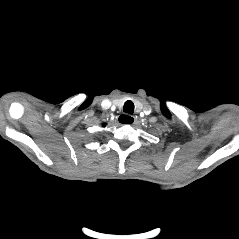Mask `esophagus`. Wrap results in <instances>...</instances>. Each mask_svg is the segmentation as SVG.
<instances>
[{
    "label": "esophagus",
    "mask_w": 239,
    "mask_h": 239,
    "mask_svg": "<svg viewBox=\"0 0 239 239\" xmlns=\"http://www.w3.org/2000/svg\"><path fill=\"white\" fill-rule=\"evenodd\" d=\"M137 121V117L128 116V115H121L119 117V122L122 124H135Z\"/></svg>",
    "instance_id": "1"
}]
</instances>
